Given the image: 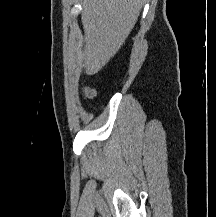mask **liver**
Returning a JSON list of instances; mask_svg holds the SVG:
<instances>
[{
	"mask_svg": "<svg viewBox=\"0 0 216 217\" xmlns=\"http://www.w3.org/2000/svg\"><path fill=\"white\" fill-rule=\"evenodd\" d=\"M81 20L85 32L84 54L78 63L88 75L99 72L121 48L132 31L143 0H83Z\"/></svg>",
	"mask_w": 216,
	"mask_h": 217,
	"instance_id": "6515ba94",
	"label": "liver"
}]
</instances>
